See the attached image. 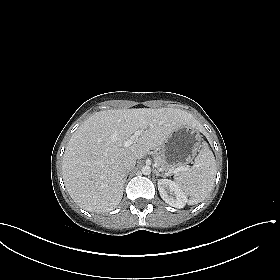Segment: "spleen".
<instances>
[{
  "label": "spleen",
  "mask_w": 280,
  "mask_h": 280,
  "mask_svg": "<svg viewBox=\"0 0 280 280\" xmlns=\"http://www.w3.org/2000/svg\"><path fill=\"white\" fill-rule=\"evenodd\" d=\"M216 162L212 150L203 142L194 164L188 170L176 174L174 180L186 195L188 203L194 205L202 202L213 188L216 178Z\"/></svg>",
  "instance_id": "1"
}]
</instances>
